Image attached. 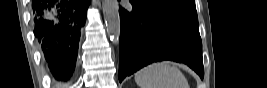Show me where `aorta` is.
Segmentation results:
<instances>
[{
	"label": "aorta",
	"mask_w": 267,
	"mask_h": 88,
	"mask_svg": "<svg viewBox=\"0 0 267 88\" xmlns=\"http://www.w3.org/2000/svg\"><path fill=\"white\" fill-rule=\"evenodd\" d=\"M102 8L106 30L114 44L119 43L120 38V17L117 0H103Z\"/></svg>",
	"instance_id": "aorta-1"
}]
</instances>
